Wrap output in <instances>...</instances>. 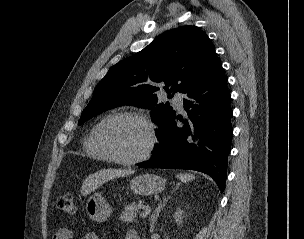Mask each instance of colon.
I'll return each mask as SVG.
<instances>
[{
  "mask_svg": "<svg viewBox=\"0 0 304 239\" xmlns=\"http://www.w3.org/2000/svg\"><path fill=\"white\" fill-rule=\"evenodd\" d=\"M56 206L62 212L72 214L76 209V198L72 193L60 195L56 199Z\"/></svg>",
  "mask_w": 304,
  "mask_h": 239,
  "instance_id": "5ec220e1",
  "label": "colon"
}]
</instances>
